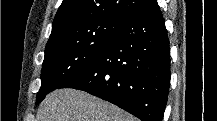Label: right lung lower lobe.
<instances>
[{
    "label": "right lung lower lobe",
    "instance_id": "1",
    "mask_svg": "<svg viewBox=\"0 0 217 121\" xmlns=\"http://www.w3.org/2000/svg\"><path fill=\"white\" fill-rule=\"evenodd\" d=\"M170 77L169 39L153 0L124 22L96 60L58 88L86 91L142 121H162Z\"/></svg>",
    "mask_w": 217,
    "mask_h": 121
}]
</instances>
